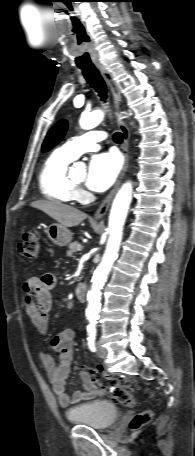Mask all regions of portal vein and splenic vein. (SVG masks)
<instances>
[{"mask_svg":"<svg viewBox=\"0 0 195 456\" xmlns=\"http://www.w3.org/2000/svg\"><path fill=\"white\" fill-rule=\"evenodd\" d=\"M81 249H82V246L79 244V245L77 246V250H78V251H81Z\"/></svg>","mask_w":195,"mask_h":456,"instance_id":"portal-vein-and-splenic-vein-1","label":"portal vein and splenic vein"}]
</instances>
